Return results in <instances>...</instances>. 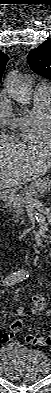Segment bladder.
Here are the masks:
<instances>
[{
	"instance_id": "obj_1",
	"label": "bladder",
	"mask_w": 51,
	"mask_h": 393,
	"mask_svg": "<svg viewBox=\"0 0 51 393\" xmlns=\"http://www.w3.org/2000/svg\"><path fill=\"white\" fill-rule=\"evenodd\" d=\"M0 369L10 380L32 382L46 377L51 367L43 352L10 344L0 349Z\"/></svg>"
}]
</instances>
